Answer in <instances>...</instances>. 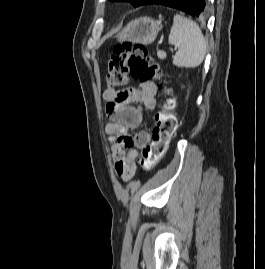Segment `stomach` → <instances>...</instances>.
<instances>
[{
    "label": "stomach",
    "mask_w": 265,
    "mask_h": 269,
    "mask_svg": "<svg viewBox=\"0 0 265 269\" xmlns=\"http://www.w3.org/2000/svg\"><path fill=\"white\" fill-rule=\"evenodd\" d=\"M159 21L150 17H140L130 21L118 34L119 41H129L143 45L151 44L161 30Z\"/></svg>",
    "instance_id": "1"
}]
</instances>
